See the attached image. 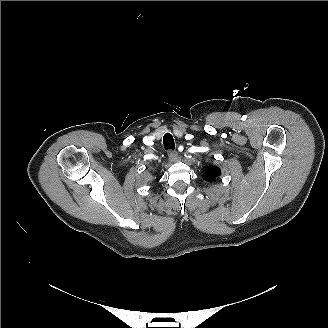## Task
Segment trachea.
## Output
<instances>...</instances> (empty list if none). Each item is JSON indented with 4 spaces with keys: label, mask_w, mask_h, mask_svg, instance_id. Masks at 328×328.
<instances>
[{
    "label": "trachea",
    "mask_w": 328,
    "mask_h": 328,
    "mask_svg": "<svg viewBox=\"0 0 328 328\" xmlns=\"http://www.w3.org/2000/svg\"><path fill=\"white\" fill-rule=\"evenodd\" d=\"M163 144L165 149H175L174 139L170 133H166L163 137Z\"/></svg>",
    "instance_id": "obj_1"
}]
</instances>
